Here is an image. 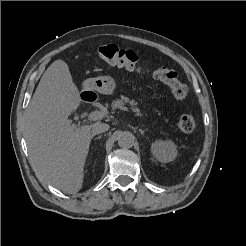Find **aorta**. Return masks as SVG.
Returning <instances> with one entry per match:
<instances>
[{
    "instance_id": "762f6f07",
    "label": "aorta",
    "mask_w": 246,
    "mask_h": 246,
    "mask_svg": "<svg viewBox=\"0 0 246 246\" xmlns=\"http://www.w3.org/2000/svg\"><path fill=\"white\" fill-rule=\"evenodd\" d=\"M118 144L122 148H131L134 144V135L129 131H121L117 136Z\"/></svg>"
}]
</instances>
